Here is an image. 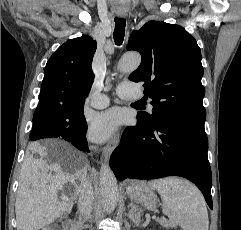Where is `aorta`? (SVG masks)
<instances>
[{"label":"aorta","mask_w":241,"mask_h":230,"mask_svg":"<svg viewBox=\"0 0 241 230\" xmlns=\"http://www.w3.org/2000/svg\"><path fill=\"white\" fill-rule=\"evenodd\" d=\"M141 63L139 53L131 52L125 54L118 63V70L122 73L135 71ZM100 192L102 208L106 213H112L117 205L119 189L117 179L109 165L103 164L100 169Z\"/></svg>","instance_id":"762f6f07"}]
</instances>
